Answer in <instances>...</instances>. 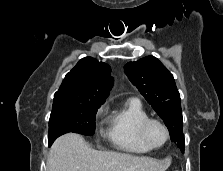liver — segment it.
Segmentation results:
<instances>
[{
	"label": "liver",
	"mask_w": 223,
	"mask_h": 171,
	"mask_svg": "<svg viewBox=\"0 0 223 171\" xmlns=\"http://www.w3.org/2000/svg\"><path fill=\"white\" fill-rule=\"evenodd\" d=\"M171 159L157 161L126 153L92 149L79 134L68 133L52 145L47 171H165Z\"/></svg>",
	"instance_id": "6515ba94"
}]
</instances>
